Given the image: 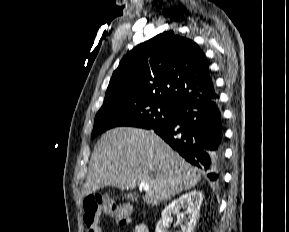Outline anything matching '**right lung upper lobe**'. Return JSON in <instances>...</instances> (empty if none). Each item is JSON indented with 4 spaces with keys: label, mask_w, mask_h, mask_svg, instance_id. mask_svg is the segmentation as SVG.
<instances>
[{
    "label": "right lung upper lobe",
    "mask_w": 289,
    "mask_h": 232,
    "mask_svg": "<svg viewBox=\"0 0 289 232\" xmlns=\"http://www.w3.org/2000/svg\"><path fill=\"white\" fill-rule=\"evenodd\" d=\"M130 96L177 108L218 95L203 51L167 31L136 46L114 71L105 99Z\"/></svg>",
    "instance_id": "cb5924a9"
}]
</instances>
